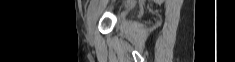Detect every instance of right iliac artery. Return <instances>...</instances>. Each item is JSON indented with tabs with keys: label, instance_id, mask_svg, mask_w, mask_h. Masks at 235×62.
I'll return each mask as SVG.
<instances>
[{
	"label": "right iliac artery",
	"instance_id": "obj_1",
	"mask_svg": "<svg viewBox=\"0 0 235 62\" xmlns=\"http://www.w3.org/2000/svg\"><path fill=\"white\" fill-rule=\"evenodd\" d=\"M96 2H97L96 0L91 1L90 5H89V7H88V11H87L88 20H89V18H90V16H91L92 12H93L94 9H95Z\"/></svg>",
	"mask_w": 235,
	"mask_h": 62
}]
</instances>
